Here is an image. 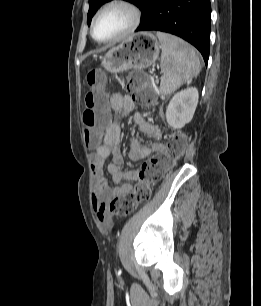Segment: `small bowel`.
<instances>
[{"label":"small bowel","mask_w":261,"mask_h":306,"mask_svg":"<svg viewBox=\"0 0 261 306\" xmlns=\"http://www.w3.org/2000/svg\"><path fill=\"white\" fill-rule=\"evenodd\" d=\"M110 105L113 110L119 111L125 116H130L142 134L155 138V141L149 145L143 144L138 138H132L129 151L131 161L143 160L152 152L163 149L160 142L162 136L160 128L144 120L141 114L134 113L135 103L130 96L113 92L110 96ZM120 140V124L113 122L106 128L103 143L90 156L93 182L91 203L98 223L104 228H109L111 225L108 210L109 202L113 197L130 191L133 187L132 182L137 179L138 174L136 169H122L124 159L120 149ZM108 159H111V162L107 165V171L112 177L114 187L104 177L103 166ZM122 181L127 182L122 183Z\"/></svg>","instance_id":"1"}]
</instances>
